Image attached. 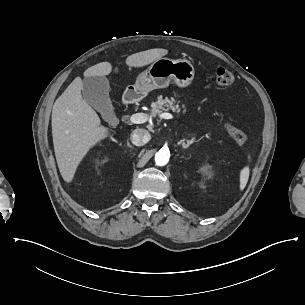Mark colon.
<instances>
[{
	"mask_svg": "<svg viewBox=\"0 0 305 305\" xmlns=\"http://www.w3.org/2000/svg\"><path fill=\"white\" fill-rule=\"evenodd\" d=\"M215 78H216L217 84L222 87H228L233 83L232 73L225 68L217 69L215 72ZM224 128H225L226 132L228 133V135L235 142H237V143L251 142L250 135L247 132L235 127L231 123L225 122Z\"/></svg>",
	"mask_w": 305,
	"mask_h": 305,
	"instance_id": "5ec220e1",
	"label": "colon"
}]
</instances>
